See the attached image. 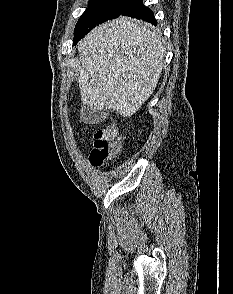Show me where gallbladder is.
Listing matches in <instances>:
<instances>
[{"label": "gallbladder", "mask_w": 233, "mask_h": 294, "mask_svg": "<svg viewBox=\"0 0 233 294\" xmlns=\"http://www.w3.org/2000/svg\"><path fill=\"white\" fill-rule=\"evenodd\" d=\"M89 115H93V113L90 111V109L88 107H83L81 110V116L84 120H89V121H95L94 118H87V116Z\"/></svg>", "instance_id": "1"}]
</instances>
